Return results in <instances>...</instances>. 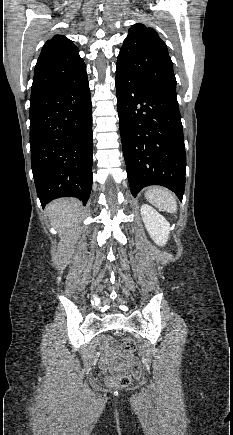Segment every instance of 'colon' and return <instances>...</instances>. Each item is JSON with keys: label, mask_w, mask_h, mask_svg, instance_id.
<instances>
[{"label": "colon", "mask_w": 233, "mask_h": 435, "mask_svg": "<svg viewBox=\"0 0 233 435\" xmlns=\"http://www.w3.org/2000/svg\"><path fill=\"white\" fill-rule=\"evenodd\" d=\"M112 347L115 349L119 356H125L132 354L135 351V343L129 338L125 337L120 341H113ZM132 381V376L129 373H121L118 375L108 376L106 378V383L111 387H126Z\"/></svg>", "instance_id": "colon-1"}]
</instances>
